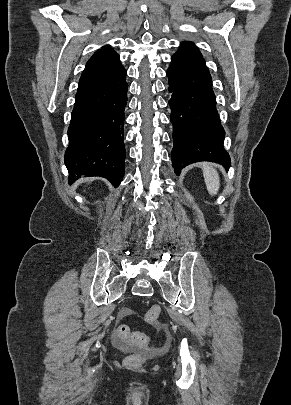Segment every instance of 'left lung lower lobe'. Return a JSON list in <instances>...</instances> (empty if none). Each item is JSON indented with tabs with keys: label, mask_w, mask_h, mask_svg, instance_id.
I'll return each instance as SVG.
<instances>
[{
	"label": "left lung lower lobe",
	"mask_w": 291,
	"mask_h": 405,
	"mask_svg": "<svg viewBox=\"0 0 291 405\" xmlns=\"http://www.w3.org/2000/svg\"><path fill=\"white\" fill-rule=\"evenodd\" d=\"M170 121L173 124L174 172L194 162L211 161L230 167V156L223 148L225 132L216 110L212 79L205 61L193 43H181L167 70Z\"/></svg>",
	"instance_id": "left-lung-lower-lobe-1"
}]
</instances>
